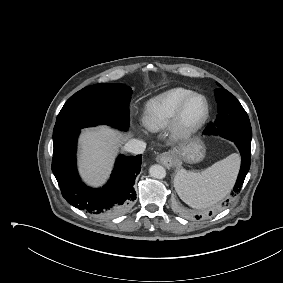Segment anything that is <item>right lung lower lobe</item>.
Masks as SVG:
<instances>
[{
    "label": "right lung lower lobe",
    "mask_w": 283,
    "mask_h": 283,
    "mask_svg": "<svg viewBox=\"0 0 283 283\" xmlns=\"http://www.w3.org/2000/svg\"><path fill=\"white\" fill-rule=\"evenodd\" d=\"M80 131L54 144L52 171L68 203L102 217L124 212L136 199L133 188L140 173L142 155H120L109 182L102 189H92L81 182L76 168V146Z\"/></svg>",
    "instance_id": "right-lung-lower-lobe-1"
}]
</instances>
